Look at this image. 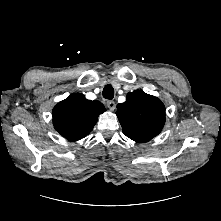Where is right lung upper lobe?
Wrapping results in <instances>:
<instances>
[{
  "label": "right lung upper lobe",
  "mask_w": 221,
  "mask_h": 221,
  "mask_svg": "<svg viewBox=\"0 0 221 221\" xmlns=\"http://www.w3.org/2000/svg\"><path fill=\"white\" fill-rule=\"evenodd\" d=\"M105 112L99 101L87 100L80 93H73L53 109L55 129L67 140L78 141L92 131L98 116Z\"/></svg>",
  "instance_id": "obj_1"
}]
</instances>
